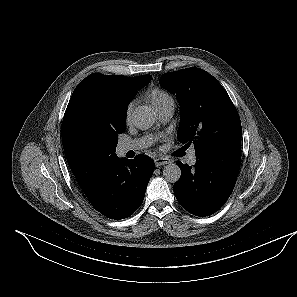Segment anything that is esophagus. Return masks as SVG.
<instances>
[{"label":"esophagus","instance_id":"1","mask_svg":"<svg viewBox=\"0 0 297 297\" xmlns=\"http://www.w3.org/2000/svg\"><path fill=\"white\" fill-rule=\"evenodd\" d=\"M154 161H155V165H156V167L164 166V165L170 163V160H169V159H167V158H162V157H158V158H156Z\"/></svg>","mask_w":297,"mask_h":297}]
</instances>
